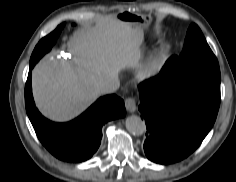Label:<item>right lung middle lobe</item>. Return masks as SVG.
<instances>
[{"mask_svg": "<svg viewBox=\"0 0 236 182\" xmlns=\"http://www.w3.org/2000/svg\"><path fill=\"white\" fill-rule=\"evenodd\" d=\"M63 27L64 23L59 25L53 32L39 41L31 55L30 64L35 65L44 54L51 50Z\"/></svg>", "mask_w": 236, "mask_h": 182, "instance_id": "dd1d6c3e", "label": "right lung middle lobe"}]
</instances>
